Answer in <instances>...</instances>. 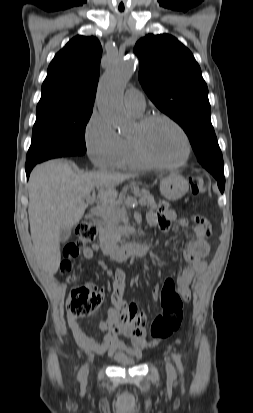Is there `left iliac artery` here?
Returning a JSON list of instances; mask_svg holds the SVG:
<instances>
[{"mask_svg":"<svg viewBox=\"0 0 253 413\" xmlns=\"http://www.w3.org/2000/svg\"><path fill=\"white\" fill-rule=\"evenodd\" d=\"M173 359L176 363L177 368L182 373L183 372V366H182V362H181V359H180L179 355L173 354Z\"/></svg>","mask_w":253,"mask_h":413,"instance_id":"left-iliac-artery-1","label":"left iliac artery"}]
</instances>
